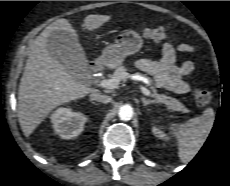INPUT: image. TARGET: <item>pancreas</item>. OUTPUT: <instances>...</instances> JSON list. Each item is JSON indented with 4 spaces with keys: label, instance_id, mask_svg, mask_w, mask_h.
<instances>
[{
    "label": "pancreas",
    "instance_id": "1",
    "mask_svg": "<svg viewBox=\"0 0 230 186\" xmlns=\"http://www.w3.org/2000/svg\"><path fill=\"white\" fill-rule=\"evenodd\" d=\"M127 71L128 70H127V68H125V66H119L114 71L113 77L119 78L120 80L125 79V78H123V75L125 73H127ZM136 74L143 76V77H146L151 82L150 78L147 77L146 75L141 74V73H136ZM150 88L152 90V96L155 98V101L157 103H163L175 111H180L183 113L189 112V110L179 100L172 98V97H169V96H166L164 94L158 93L156 87L153 85H151Z\"/></svg>",
    "mask_w": 230,
    "mask_h": 186
}]
</instances>
